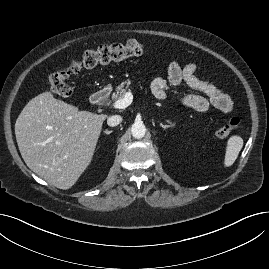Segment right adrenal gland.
<instances>
[{"label": "right adrenal gland", "instance_id": "obj_1", "mask_svg": "<svg viewBox=\"0 0 269 269\" xmlns=\"http://www.w3.org/2000/svg\"><path fill=\"white\" fill-rule=\"evenodd\" d=\"M112 132H113L112 130H105L104 131V133L107 134V135L111 134Z\"/></svg>", "mask_w": 269, "mask_h": 269}]
</instances>
